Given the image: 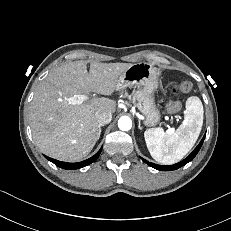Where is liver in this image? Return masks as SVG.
Segmentation results:
<instances>
[{
  "instance_id": "obj_1",
  "label": "liver",
  "mask_w": 231,
  "mask_h": 231,
  "mask_svg": "<svg viewBox=\"0 0 231 231\" xmlns=\"http://www.w3.org/2000/svg\"><path fill=\"white\" fill-rule=\"evenodd\" d=\"M131 63L90 64L80 60L64 64L42 81L30 105L29 119L33 139L44 154L66 162L86 157L97 140L98 110L116 111V102L109 98H94L72 104L69 98L87 92L112 95L119 76Z\"/></svg>"
}]
</instances>
